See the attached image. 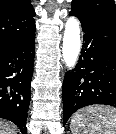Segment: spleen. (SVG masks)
Instances as JSON below:
<instances>
[{"label": "spleen", "instance_id": "1", "mask_svg": "<svg viewBox=\"0 0 116 134\" xmlns=\"http://www.w3.org/2000/svg\"><path fill=\"white\" fill-rule=\"evenodd\" d=\"M72 134H116V108L95 105L76 112L71 120Z\"/></svg>", "mask_w": 116, "mask_h": 134}]
</instances>
